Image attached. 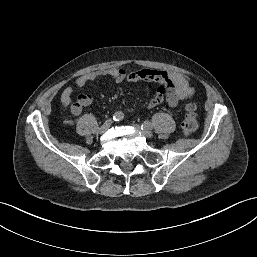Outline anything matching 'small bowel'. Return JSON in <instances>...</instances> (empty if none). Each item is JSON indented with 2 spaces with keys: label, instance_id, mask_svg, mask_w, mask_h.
<instances>
[{
  "label": "small bowel",
  "instance_id": "1",
  "mask_svg": "<svg viewBox=\"0 0 257 257\" xmlns=\"http://www.w3.org/2000/svg\"><path fill=\"white\" fill-rule=\"evenodd\" d=\"M101 78H111L116 83L139 81L154 82L159 85L156 94L149 101L148 107L154 108L164 100L172 108L177 107L181 102L186 101L194 95V88L189 79L178 72H167L164 70L143 68L137 71L127 73L121 68H106L98 71L88 72L81 75L76 80V86L84 87L87 83ZM73 88L66 87L61 94V101L64 105H71V113L79 116L84 107L92 104L93 98L89 93H83L72 103Z\"/></svg>",
  "mask_w": 257,
  "mask_h": 257
}]
</instances>
